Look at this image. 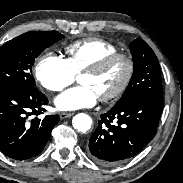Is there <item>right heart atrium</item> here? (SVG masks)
<instances>
[{
  "label": "right heart atrium",
  "instance_id": "d8ad5b80",
  "mask_svg": "<svg viewBox=\"0 0 183 183\" xmlns=\"http://www.w3.org/2000/svg\"><path fill=\"white\" fill-rule=\"evenodd\" d=\"M35 78L45 90L61 92L73 83L75 74L63 57L53 52H45L37 60Z\"/></svg>",
  "mask_w": 183,
  "mask_h": 183
}]
</instances>
